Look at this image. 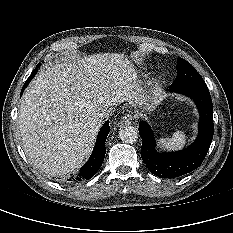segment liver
Segmentation results:
<instances>
[{
  "mask_svg": "<svg viewBox=\"0 0 233 233\" xmlns=\"http://www.w3.org/2000/svg\"><path fill=\"white\" fill-rule=\"evenodd\" d=\"M136 72L123 54L103 53L48 65L24 91L19 128L25 153L41 172L60 176L73 172L91 148L102 122L95 116L117 103L138 105ZM136 90V91H135ZM153 105L148 109L152 110Z\"/></svg>",
  "mask_w": 233,
  "mask_h": 233,
  "instance_id": "6515ba94",
  "label": "liver"
}]
</instances>
